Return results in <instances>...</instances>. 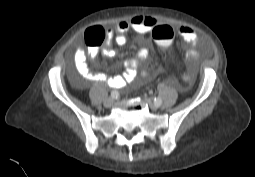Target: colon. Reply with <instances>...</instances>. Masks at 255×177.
Returning <instances> with one entry per match:
<instances>
[{"label": "colon", "mask_w": 255, "mask_h": 177, "mask_svg": "<svg viewBox=\"0 0 255 177\" xmlns=\"http://www.w3.org/2000/svg\"><path fill=\"white\" fill-rule=\"evenodd\" d=\"M153 38L159 44L164 56L169 63L179 71L182 83L187 84L193 81V74L183 68L185 65L184 59L178 54L177 50L172 45L174 38V30L168 25H159L153 29ZM106 38V31L100 27L90 28L85 34L86 42L93 47L100 45Z\"/></svg>", "instance_id": "1"}]
</instances>
